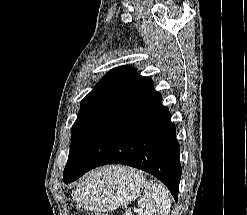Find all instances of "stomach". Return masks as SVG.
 <instances>
[{
	"label": "stomach",
	"mask_w": 247,
	"mask_h": 215,
	"mask_svg": "<svg viewBox=\"0 0 247 215\" xmlns=\"http://www.w3.org/2000/svg\"><path fill=\"white\" fill-rule=\"evenodd\" d=\"M121 168L112 166L90 173L78 184L73 198L83 208L96 212L110 211L135 199L143 187L142 176L129 168L122 172Z\"/></svg>",
	"instance_id": "1"
}]
</instances>
